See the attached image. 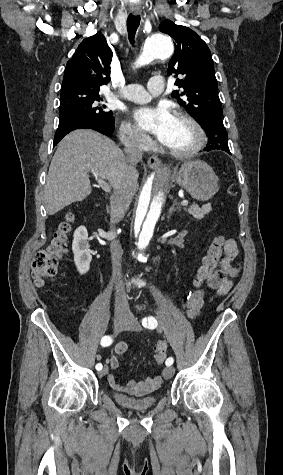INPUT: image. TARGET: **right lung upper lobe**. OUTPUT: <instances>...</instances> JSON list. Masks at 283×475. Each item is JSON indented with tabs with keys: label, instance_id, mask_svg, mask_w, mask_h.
<instances>
[{
	"label": "right lung upper lobe",
	"instance_id": "obj_1",
	"mask_svg": "<svg viewBox=\"0 0 283 475\" xmlns=\"http://www.w3.org/2000/svg\"><path fill=\"white\" fill-rule=\"evenodd\" d=\"M111 57L101 32L84 39L67 62L61 93H98L99 87L110 81Z\"/></svg>",
	"mask_w": 283,
	"mask_h": 475
}]
</instances>
